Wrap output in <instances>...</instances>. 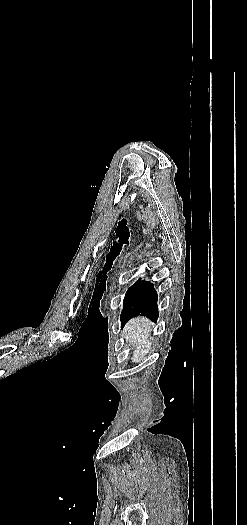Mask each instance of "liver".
Returning a JSON list of instances; mask_svg holds the SVG:
<instances>
[{"label": "liver", "mask_w": 247, "mask_h": 525, "mask_svg": "<svg viewBox=\"0 0 247 525\" xmlns=\"http://www.w3.org/2000/svg\"><path fill=\"white\" fill-rule=\"evenodd\" d=\"M154 323L145 317H135L125 325L122 337L126 339L129 345H136L132 355V363H140L141 359L145 357L146 353H150L151 341L155 343L157 339H149L150 331ZM144 349V351H141Z\"/></svg>", "instance_id": "6515ba94"}]
</instances>
